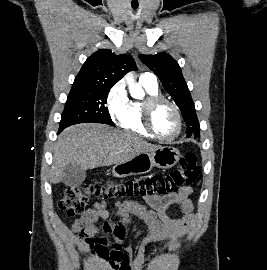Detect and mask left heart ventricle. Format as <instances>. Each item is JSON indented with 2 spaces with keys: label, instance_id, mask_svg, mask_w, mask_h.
Listing matches in <instances>:
<instances>
[{
  "label": "left heart ventricle",
  "instance_id": "left-heart-ventricle-1",
  "mask_svg": "<svg viewBox=\"0 0 267 270\" xmlns=\"http://www.w3.org/2000/svg\"><path fill=\"white\" fill-rule=\"evenodd\" d=\"M152 122L156 132L162 137L170 138L177 131V118L168 104L161 103L154 109Z\"/></svg>",
  "mask_w": 267,
  "mask_h": 270
}]
</instances>
